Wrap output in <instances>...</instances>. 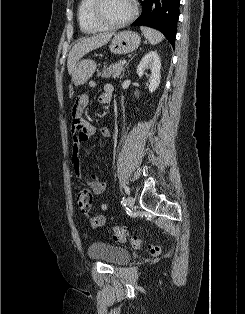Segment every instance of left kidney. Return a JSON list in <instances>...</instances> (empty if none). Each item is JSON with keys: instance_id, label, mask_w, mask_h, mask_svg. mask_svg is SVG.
Wrapping results in <instances>:
<instances>
[{"instance_id": "obj_1", "label": "left kidney", "mask_w": 245, "mask_h": 314, "mask_svg": "<svg viewBox=\"0 0 245 314\" xmlns=\"http://www.w3.org/2000/svg\"><path fill=\"white\" fill-rule=\"evenodd\" d=\"M150 69L151 74L148 79V88L149 92L153 93L160 84V69H161V61L157 51H149L140 61L137 66V74L142 77L144 75L145 70Z\"/></svg>"}]
</instances>
